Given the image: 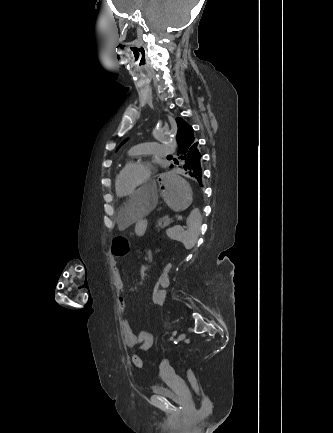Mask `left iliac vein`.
<instances>
[{"label":"left iliac vein","instance_id":"4c4485c4","mask_svg":"<svg viewBox=\"0 0 333 433\" xmlns=\"http://www.w3.org/2000/svg\"><path fill=\"white\" fill-rule=\"evenodd\" d=\"M185 337H186L185 334H180V335L178 336V341H182V340H184Z\"/></svg>","mask_w":333,"mask_h":433}]
</instances>
